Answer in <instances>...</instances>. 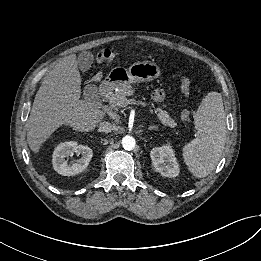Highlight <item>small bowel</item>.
<instances>
[{
    "label": "small bowel",
    "instance_id": "c3829d8e",
    "mask_svg": "<svg viewBox=\"0 0 261 261\" xmlns=\"http://www.w3.org/2000/svg\"><path fill=\"white\" fill-rule=\"evenodd\" d=\"M181 82H186L187 84H189V80L184 78L181 80ZM154 100L159 102V101H162L163 98H164V93L162 90H157L155 93H154V96H153ZM187 116H188V111L187 110H184L182 112V119L183 120H186L187 119Z\"/></svg>",
    "mask_w": 261,
    "mask_h": 261
}]
</instances>
